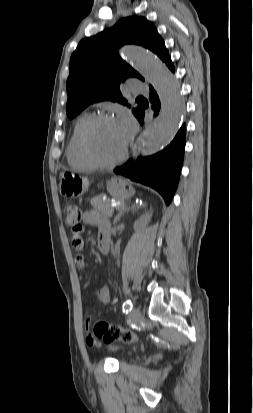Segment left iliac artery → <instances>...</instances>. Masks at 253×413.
Wrapping results in <instances>:
<instances>
[{"mask_svg": "<svg viewBox=\"0 0 253 413\" xmlns=\"http://www.w3.org/2000/svg\"><path fill=\"white\" fill-rule=\"evenodd\" d=\"M132 307H133V305H132L131 300H126L123 303V309L122 310H123L124 313H128L129 311H131Z\"/></svg>", "mask_w": 253, "mask_h": 413, "instance_id": "44dca946", "label": "left iliac artery"}]
</instances>
